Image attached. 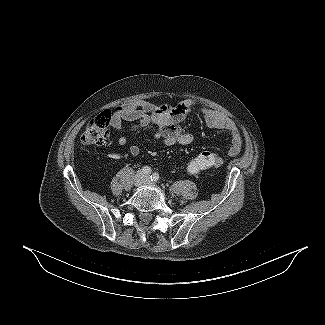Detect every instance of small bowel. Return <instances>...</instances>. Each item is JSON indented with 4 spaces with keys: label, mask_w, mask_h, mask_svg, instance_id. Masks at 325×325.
Wrapping results in <instances>:
<instances>
[{
    "label": "small bowel",
    "mask_w": 325,
    "mask_h": 325,
    "mask_svg": "<svg viewBox=\"0 0 325 325\" xmlns=\"http://www.w3.org/2000/svg\"><path fill=\"white\" fill-rule=\"evenodd\" d=\"M194 107L195 102L192 100H185L175 105H156L147 101L130 103L125 105L121 112L113 116L111 126L121 133L125 130L134 132L155 125L157 127L155 137L161 139L166 145H190L195 138L191 133L184 132L180 123ZM200 113L209 128L226 130L231 134L229 153H239L242 147V139L235 124L217 111L201 108ZM124 121L130 122V125L126 128L123 126ZM127 142L125 136H120L118 139V144L121 146H125ZM128 151L132 156H137L141 152L140 147L137 145L130 146ZM192 165V161L187 164L188 173H190Z\"/></svg>",
    "instance_id": "small-bowel-1"
}]
</instances>
